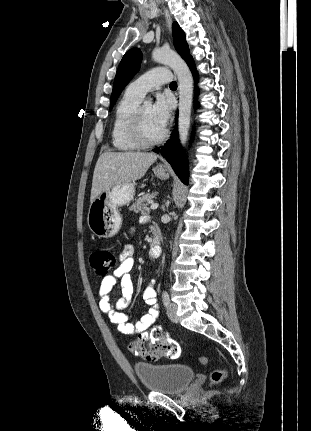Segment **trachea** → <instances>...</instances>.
<instances>
[{
    "label": "trachea",
    "mask_w": 311,
    "mask_h": 431,
    "mask_svg": "<svg viewBox=\"0 0 311 431\" xmlns=\"http://www.w3.org/2000/svg\"><path fill=\"white\" fill-rule=\"evenodd\" d=\"M170 87H172V88H177V83H176V82H171V83H170Z\"/></svg>",
    "instance_id": "3493384b"
}]
</instances>
